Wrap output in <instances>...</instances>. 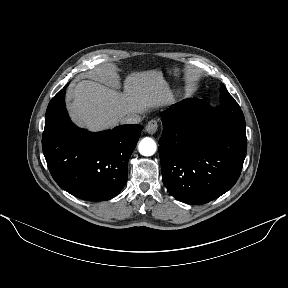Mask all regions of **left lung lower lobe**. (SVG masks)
<instances>
[{
  "instance_id": "1",
  "label": "left lung lower lobe",
  "mask_w": 288,
  "mask_h": 288,
  "mask_svg": "<svg viewBox=\"0 0 288 288\" xmlns=\"http://www.w3.org/2000/svg\"><path fill=\"white\" fill-rule=\"evenodd\" d=\"M162 122V179L173 197L204 204L237 182L247 149L244 124L220 117L198 98L172 105L162 114Z\"/></svg>"
}]
</instances>
